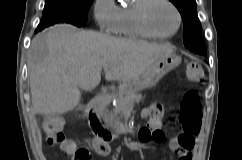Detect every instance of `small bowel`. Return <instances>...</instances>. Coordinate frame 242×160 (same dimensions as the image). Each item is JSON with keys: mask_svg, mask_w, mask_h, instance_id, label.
Returning a JSON list of instances; mask_svg holds the SVG:
<instances>
[{"mask_svg": "<svg viewBox=\"0 0 242 160\" xmlns=\"http://www.w3.org/2000/svg\"><path fill=\"white\" fill-rule=\"evenodd\" d=\"M147 115V113H146ZM160 120L154 119L150 122L149 126L143 128L139 132V139L141 142L148 143L152 141L151 139L144 138L141 133L148 129L150 131H154L160 129ZM199 133V132H198ZM196 135L189 134H181L177 138H173L170 140L169 147L173 153L176 154L177 160H193V151L196 143ZM98 141H95V143ZM68 154H73L75 152V147L73 143L69 141V147L65 150Z\"/></svg>", "mask_w": 242, "mask_h": 160, "instance_id": "c3829d8e", "label": "small bowel"}]
</instances>
